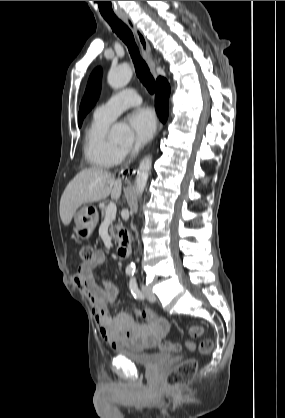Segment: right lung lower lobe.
I'll use <instances>...</instances> for the list:
<instances>
[{"mask_svg": "<svg viewBox=\"0 0 285 418\" xmlns=\"http://www.w3.org/2000/svg\"><path fill=\"white\" fill-rule=\"evenodd\" d=\"M156 83L157 92L155 96V102L157 105V113L160 120L165 123L168 118V100L170 95V86L167 80L163 77H159Z\"/></svg>", "mask_w": 285, "mask_h": 418, "instance_id": "98d812e1", "label": "right lung lower lobe"}]
</instances>
